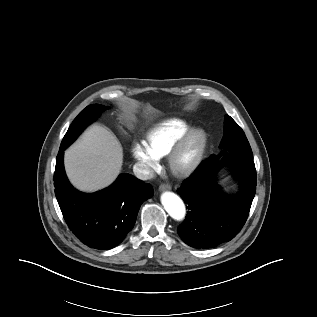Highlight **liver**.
I'll return each mask as SVG.
<instances>
[{"mask_svg": "<svg viewBox=\"0 0 317 317\" xmlns=\"http://www.w3.org/2000/svg\"><path fill=\"white\" fill-rule=\"evenodd\" d=\"M123 150L116 136L99 125L89 127L64 155L66 174L79 190L94 192L118 176Z\"/></svg>", "mask_w": 317, "mask_h": 317, "instance_id": "obj_1", "label": "liver"}]
</instances>
